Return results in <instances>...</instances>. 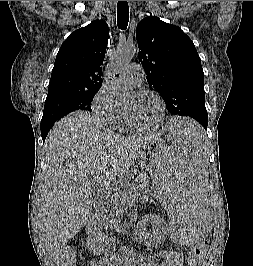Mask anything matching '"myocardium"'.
<instances>
[{
  "instance_id": "myocardium-1",
  "label": "myocardium",
  "mask_w": 253,
  "mask_h": 266,
  "mask_svg": "<svg viewBox=\"0 0 253 266\" xmlns=\"http://www.w3.org/2000/svg\"><path fill=\"white\" fill-rule=\"evenodd\" d=\"M135 94L137 95H145V94H149V95H152L154 96L158 102H159V105H160V109H161V114H160V118L158 120V122L150 127H143V126H140L134 116L132 115V113L125 107V114H126V117H127V121H128V124H129V127L134 130V131H137V132H141V133H147V132H153V131H156L158 130L160 127H162V125L164 124L165 122V119H166V103L163 99V97L160 95V93H158L157 91L155 90H152V89H139V90H136L134 91Z\"/></svg>"
}]
</instances>
